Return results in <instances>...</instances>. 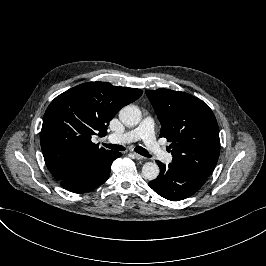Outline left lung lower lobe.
<instances>
[{"label":"left lung lower lobe","instance_id":"0a47b994","mask_svg":"<svg viewBox=\"0 0 266 266\" xmlns=\"http://www.w3.org/2000/svg\"><path fill=\"white\" fill-rule=\"evenodd\" d=\"M159 176L148 183L165 199L179 201L195 194L206 182L207 176L189 167L170 163L168 167L157 161Z\"/></svg>","mask_w":266,"mask_h":266}]
</instances>
